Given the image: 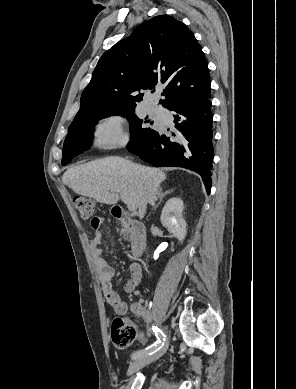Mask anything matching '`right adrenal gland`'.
I'll return each mask as SVG.
<instances>
[{
    "label": "right adrenal gland",
    "mask_w": 296,
    "mask_h": 389,
    "mask_svg": "<svg viewBox=\"0 0 296 389\" xmlns=\"http://www.w3.org/2000/svg\"><path fill=\"white\" fill-rule=\"evenodd\" d=\"M172 192H173V190H168V191H165L164 193L162 191H160L159 195H158V202H157V204H154L153 210H156L158 208V206L161 204V202L163 201V198H165L166 195H168Z\"/></svg>",
    "instance_id": "1"
}]
</instances>
